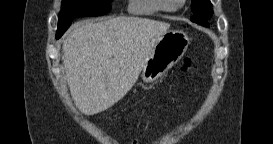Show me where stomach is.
Masks as SVG:
<instances>
[{"label":"stomach","instance_id":"1","mask_svg":"<svg viewBox=\"0 0 273 144\" xmlns=\"http://www.w3.org/2000/svg\"><path fill=\"white\" fill-rule=\"evenodd\" d=\"M189 44V38L183 31L172 29L165 32L142 69L143 81L151 83L161 78L181 59Z\"/></svg>","mask_w":273,"mask_h":144}]
</instances>
